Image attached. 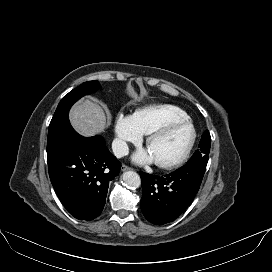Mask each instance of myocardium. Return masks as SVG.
Wrapping results in <instances>:
<instances>
[{"instance_id":"myocardium-1","label":"myocardium","mask_w":272,"mask_h":272,"mask_svg":"<svg viewBox=\"0 0 272 272\" xmlns=\"http://www.w3.org/2000/svg\"><path fill=\"white\" fill-rule=\"evenodd\" d=\"M179 125H186L187 127H189V129L191 131V136H190L189 142H188L187 146L185 147L184 151L181 153V155L178 156L173 161H170V162H157V161H155L157 166H159L160 168L174 169V168L182 165L188 159V157H189V155L195 145V142H196V138H197L196 128H195L193 122L189 118L180 119V120H173V121L167 122V123L163 124L162 126L156 128L155 130L150 132L146 138V146L149 148L152 141H154L156 138L162 136L163 134L167 133L172 128L179 126Z\"/></svg>"}]
</instances>
